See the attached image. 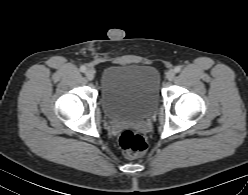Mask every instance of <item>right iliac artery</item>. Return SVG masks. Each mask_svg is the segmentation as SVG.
<instances>
[{
	"mask_svg": "<svg viewBox=\"0 0 248 195\" xmlns=\"http://www.w3.org/2000/svg\"><path fill=\"white\" fill-rule=\"evenodd\" d=\"M80 71H81V72H85V71H86V67H85V66H81V67H80Z\"/></svg>",
	"mask_w": 248,
	"mask_h": 195,
	"instance_id": "right-iliac-artery-1",
	"label": "right iliac artery"
}]
</instances>
